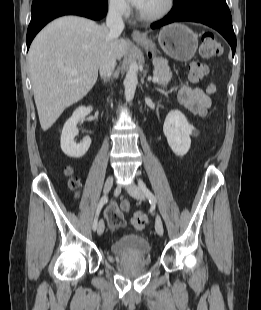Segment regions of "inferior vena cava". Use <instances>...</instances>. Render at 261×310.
<instances>
[{
  "label": "inferior vena cava",
  "mask_w": 261,
  "mask_h": 310,
  "mask_svg": "<svg viewBox=\"0 0 261 310\" xmlns=\"http://www.w3.org/2000/svg\"><path fill=\"white\" fill-rule=\"evenodd\" d=\"M106 26L110 31L112 37H118L123 29L124 22L122 19V6L111 5L108 11ZM116 66V58L108 52L103 56L102 62L99 67L100 75L103 79L110 78L114 72Z\"/></svg>",
  "instance_id": "obj_1"
}]
</instances>
